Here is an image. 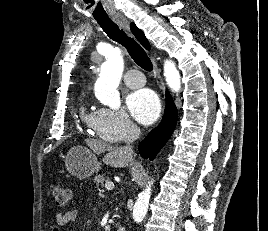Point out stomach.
<instances>
[{
	"mask_svg": "<svg viewBox=\"0 0 268 231\" xmlns=\"http://www.w3.org/2000/svg\"><path fill=\"white\" fill-rule=\"evenodd\" d=\"M64 161L68 172L80 180L92 176L100 169L96 155L89 148L81 145L70 148Z\"/></svg>",
	"mask_w": 268,
	"mask_h": 231,
	"instance_id": "0dacf381",
	"label": "stomach"
}]
</instances>
